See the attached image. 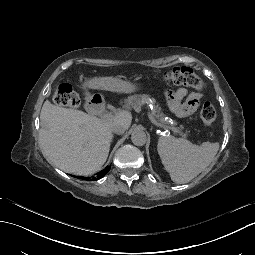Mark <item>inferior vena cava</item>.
Returning a JSON list of instances; mask_svg holds the SVG:
<instances>
[{
    "label": "inferior vena cava",
    "instance_id": "1",
    "mask_svg": "<svg viewBox=\"0 0 255 255\" xmlns=\"http://www.w3.org/2000/svg\"><path fill=\"white\" fill-rule=\"evenodd\" d=\"M110 130L116 134H123L126 130V125L123 122H116L110 126Z\"/></svg>",
    "mask_w": 255,
    "mask_h": 255
}]
</instances>
